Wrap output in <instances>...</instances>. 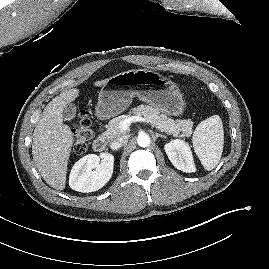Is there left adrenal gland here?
Segmentation results:
<instances>
[{
    "instance_id": "obj_1",
    "label": "left adrenal gland",
    "mask_w": 269,
    "mask_h": 269,
    "mask_svg": "<svg viewBox=\"0 0 269 269\" xmlns=\"http://www.w3.org/2000/svg\"><path fill=\"white\" fill-rule=\"evenodd\" d=\"M153 137H154V138H158V137L166 138V136H164V135H162V134H158V133L153 134Z\"/></svg>"
}]
</instances>
